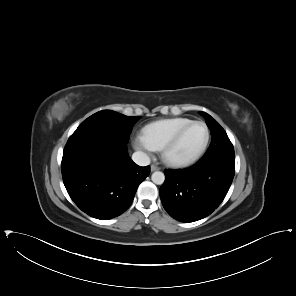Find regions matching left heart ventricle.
<instances>
[{
    "label": "left heart ventricle",
    "mask_w": 296,
    "mask_h": 296,
    "mask_svg": "<svg viewBox=\"0 0 296 296\" xmlns=\"http://www.w3.org/2000/svg\"><path fill=\"white\" fill-rule=\"evenodd\" d=\"M205 139V129L201 125L190 126L170 149L169 157L186 158L194 155Z\"/></svg>",
    "instance_id": "obj_1"
}]
</instances>
